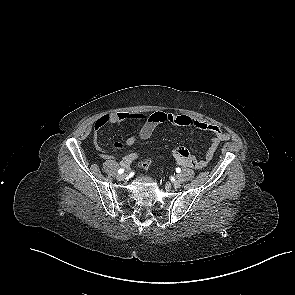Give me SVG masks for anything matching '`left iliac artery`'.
I'll list each match as a JSON object with an SVG mask.
<instances>
[{
    "label": "left iliac artery",
    "mask_w": 295,
    "mask_h": 295,
    "mask_svg": "<svg viewBox=\"0 0 295 295\" xmlns=\"http://www.w3.org/2000/svg\"><path fill=\"white\" fill-rule=\"evenodd\" d=\"M181 169L180 168H176V172L180 173Z\"/></svg>",
    "instance_id": "obj_1"
}]
</instances>
